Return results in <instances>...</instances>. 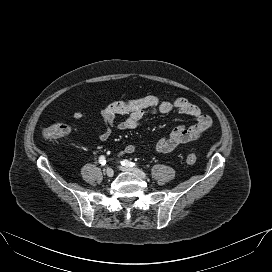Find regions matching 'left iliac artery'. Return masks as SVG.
<instances>
[{
    "label": "left iliac artery",
    "mask_w": 272,
    "mask_h": 272,
    "mask_svg": "<svg viewBox=\"0 0 272 272\" xmlns=\"http://www.w3.org/2000/svg\"><path fill=\"white\" fill-rule=\"evenodd\" d=\"M121 164L123 166H126V167H134V166H136L135 163H133V162H131L129 160H126V159L123 160V161H121Z\"/></svg>",
    "instance_id": "1"
}]
</instances>
